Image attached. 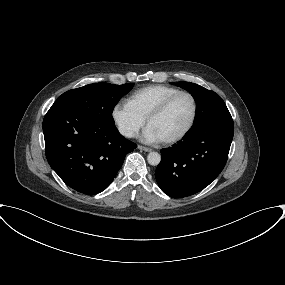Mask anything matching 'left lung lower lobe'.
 <instances>
[{
	"mask_svg": "<svg viewBox=\"0 0 285 285\" xmlns=\"http://www.w3.org/2000/svg\"><path fill=\"white\" fill-rule=\"evenodd\" d=\"M233 134V123L210 124L190 130L182 141L162 149L155 172L161 190L182 198L207 187L226 164Z\"/></svg>",
	"mask_w": 285,
	"mask_h": 285,
	"instance_id": "obj_1",
	"label": "left lung lower lobe"
}]
</instances>
